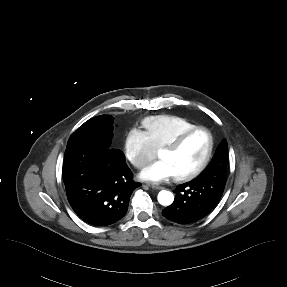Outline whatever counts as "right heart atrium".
<instances>
[{
    "instance_id": "1",
    "label": "right heart atrium",
    "mask_w": 287,
    "mask_h": 287,
    "mask_svg": "<svg viewBox=\"0 0 287 287\" xmlns=\"http://www.w3.org/2000/svg\"><path fill=\"white\" fill-rule=\"evenodd\" d=\"M123 149L126 159L138 169L145 167L156 155V150L146 134L136 128L125 135Z\"/></svg>"
}]
</instances>
